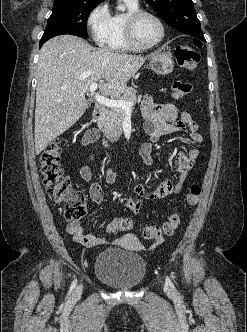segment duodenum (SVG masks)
Returning <instances> with one entry per match:
<instances>
[{
	"label": "duodenum",
	"mask_w": 247,
	"mask_h": 332,
	"mask_svg": "<svg viewBox=\"0 0 247 332\" xmlns=\"http://www.w3.org/2000/svg\"><path fill=\"white\" fill-rule=\"evenodd\" d=\"M105 115V108L102 105H96L93 111L94 121L100 124Z\"/></svg>",
	"instance_id": "1"
}]
</instances>
